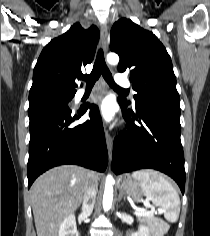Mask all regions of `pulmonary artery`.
Listing matches in <instances>:
<instances>
[{
  "label": "pulmonary artery",
  "instance_id": "e3ab8cb5",
  "mask_svg": "<svg viewBox=\"0 0 210 236\" xmlns=\"http://www.w3.org/2000/svg\"><path fill=\"white\" fill-rule=\"evenodd\" d=\"M115 82L118 86L126 87V88L130 87V83L125 76L117 75L115 77ZM85 93H86V91L84 89L80 90L78 92V97H82L83 95H85Z\"/></svg>",
  "mask_w": 210,
  "mask_h": 236
}]
</instances>
